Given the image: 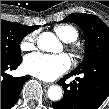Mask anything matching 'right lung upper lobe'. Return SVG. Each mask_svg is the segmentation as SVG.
Listing matches in <instances>:
<instances>
[{
	"label": "right lung upper lobe",
	"mask_w": 109,
	"mask_h": 109,
	"mask_svg": "<svg viewBox=\"0 0 109 109\" xmlns=\"http://www.w3.org/2000/svg\"><path fill=\"white\" fill-rule=\"evenodd\" d=\"M33 27H35L36 29L38 28V26H33ZM36 29H35V30H36Z\"/></svg>",
	"instance_id": "1"
}]
</instances>
